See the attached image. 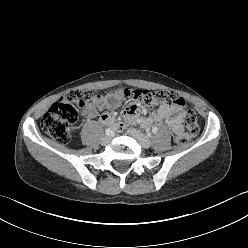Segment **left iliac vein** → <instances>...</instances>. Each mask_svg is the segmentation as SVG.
I'll return each instance as SVG.
<instances>
[{
  "instance_id": "4c4485c4",
  "label": "left iliac vein",
  "mask_w": 248,
  "mask_h": 248,
  "mask_svg": "<svg viewBox=\"0 0 248 248\" xmlns=\"http://www.w3.org/2000/svg\"><path fill=\"white\" fill-rule=\"evenodd\" d=\"M128 133L132 137H134L143 148L147 149L151 146L150 139L147 136H145L144 134L140 133L139 131L134 130V129H130V130H128Z\"/></svg>"
}]
</instances>
